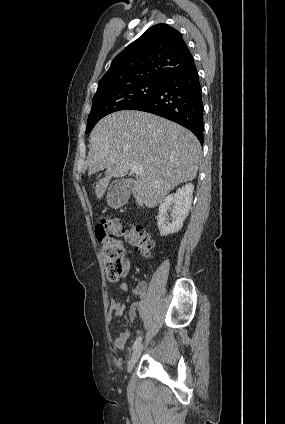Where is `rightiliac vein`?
Here are the masks:
<instances>
[{"label": "right iliac vein", "mask_w": 285, "mask_h": 424, "mask_svg": "<svg viewBox=\"0 0 285 424\" xmlns=\"http://www.w3.org/2000/svg\"><path fill=\"white\" fill-rule=\"evenodd\" d=\"M142 350H143V345L138 346L134 350L130 360L128 361V365H127V370H128L129 373L132 372L136 362L138 361V359L141 355Z\"/></svg>", "instance_id": "obj_1"}]
</instances>
